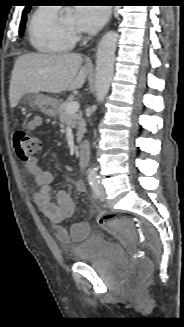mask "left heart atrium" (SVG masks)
Instances as JSON below:
<instances>
[{
  "instance_id": "39dd6f15",
  "label": "left heart atrium",
  "mask_w": 184,
  "mask_h": 327,
  "mask_svg": "<svg viewBox=\"0 0 184 327\" xmlns=\"http://www.w3.org/2000/svg\"><path fill=\"white\" fill-rule=\"evenodd\" d=\"M109 9L99 5H83L76 9L77 27L84 32H95L107 21Z\"/></svg>"
}]
</instances>
